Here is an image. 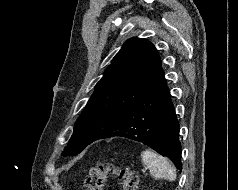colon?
I'll return each instance as SVG.
<instances>
[{"instance_id": "obj_1", "label": "colon", "mask_w": 238, "mask_h": 190, "mask_svg": "<svg viewBox=\"0 0 238 190\" xmlns=\"http://www.w3.org/2000/svg\"><path fill=\"white\" fill-rule=\"evenodd\" d=\"M112 176L121 181L123 190L138 189L139 177L135 171L104 162L89 170L85 178L84 190H102L107 179Z\"/></svg>"}]
</instances>
